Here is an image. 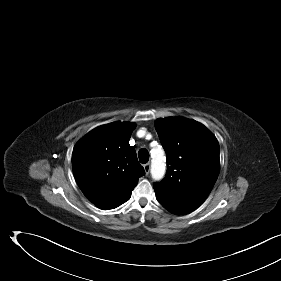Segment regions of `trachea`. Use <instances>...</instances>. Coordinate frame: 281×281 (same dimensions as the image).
Returning a JSON list of instances; mask_svg holds the SVG:
<instances>
[{"label":"trachea","instance_id":"3493384b","mask_svg":"<svg viewBox=\"0 0 281 281\" xmlns=\"http://www.w3.org/2000/svg\"><path fill=\"white\" fill-rule=\"evenodd\" d=\"M139 161L143 164L147 163L149 160V152L147 149H140L138 152Z\"/></svg>","mask_w":281,"mask_h":281}]
</instances>
